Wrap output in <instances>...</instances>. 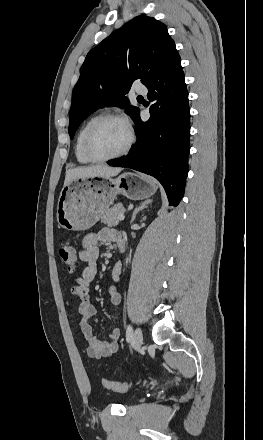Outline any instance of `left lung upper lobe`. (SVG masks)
<instances>
[{"label": "left lung upper lobe", "instance_id": "left-lung-upper-lobe-1", "mask_svg": "<svg viewBox=\"0 0 263 440\" xmlns=\"http://www.w3.org/2000/svg\"><path fill=\"white\" fill-rule=\"evenodd\" d=\"M178 52L167 27L153 17L137 16L90 50L82 65L70 109L69 135L103 106L126 108L134 119L139 108L125 96L135 80L150 83Z\"/></svg>", "mask_w": 263, "mask_h": 440}]
</instances>
